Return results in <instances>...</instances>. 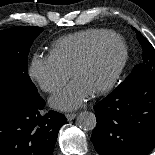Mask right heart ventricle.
<instances>
[{
	"mask_svg": "<svg viewBox=\"0 0 155 155\" xmlns=\"http://www.w3.org/2000/svg\"><path fill=\"white\" fill-rule=\"evenodd\" d=\"M114 33L108 29H86L57 39L51 45L50 55L70 73L77 63L102 38Z\"/></svg>",
	"mask_w": 155,
	"mask_h": 155,
	"instance_id": "e07e8e85",
	"label": "right heart ventricle"
}]
</instances>
